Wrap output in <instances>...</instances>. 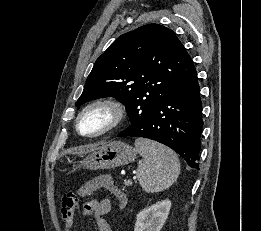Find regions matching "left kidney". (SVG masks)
Returning <instances> with one entry per match:
<instances>
[{"instance_id":"obj_1","label":"left kidney","mask_w":261,"mask_h":231,"mask_svg":"<svg viewBox=\"0 0 261 231\" xmlns=\"http://www.w3.org/2000/svg\"><path fill=\"white\" fill-rule=\"evenodd\" d=\"M171 207L170 200H163L137 214L134 231H160Z\"/></svg>"}]
</instances>
